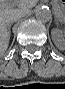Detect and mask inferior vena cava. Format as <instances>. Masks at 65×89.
<instances>
[{"label": "inferior vena cava", "instance_id": "obj_1", "mask_svg": "<svg viewBox=\"0 0 65 89\" xmlns=\"http://www.w3.org/2000/svg\"><path fill=\"white\" fill-rule=\"evenodd\" d=\"M23 16H24L23 13H20V14H18L17 16H13V17L11 18V20H10L9 23L11 24V23L17 21L18 19H20V18L23 17ZM1 21H2V20H1Z\"/></svg>", "mask_w": 65, "mask_h": 89}]
</instances>
